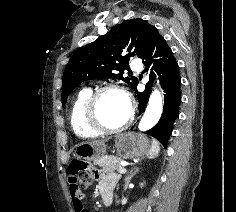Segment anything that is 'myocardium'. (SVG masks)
Here are the masks:
<instances>
[{"label":"myocardium","mask_w":236,"mask_h":212,"mask_svg":"<svg viewBox=\"0 0 236 212\" xmlns=\"http://www.w3.org/2000/svg\"><path fill=\"white\" fill-rule=\"evenodd\" d=\"M108 91L120 92L127 100L129 112L126 120L122 125L116 128H107L99 120L98 117V102L101 96ZM135 114V105L129 92L121 85L106 84L103 85L91 94L85 110V118L88 126L100 134H117L126 130L133 122Z\"/></svg>","instance_id":"1"}]
</instances>
